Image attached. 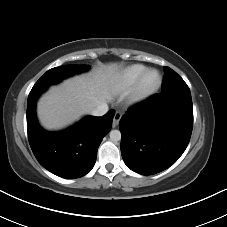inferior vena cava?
<instances>
[{"mask_svg":"<svg viewBox=\"0 0 227 227\" xmlns=\"http://www.w3.org/2000/svg\"><path fill=\"white\" fill-rule=\"evenodd\" d=\"M108 112V105L106 103H101L95 109L91 111L93 116H102Z\"/></svg>","mask_w":227,"mask_h":227,"instance_id":"inferior-vena-cava-1","label":"inferior vena cava"}]
</instances>
